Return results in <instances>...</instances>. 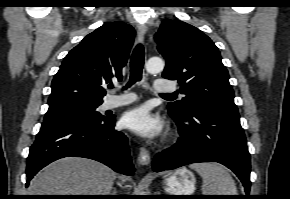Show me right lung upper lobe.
I'll return each instance as SVG.
<instances>
[{
    "label": "right lung upper lobe",
    "mask_w": 290,
    "mask_h": 199,
    "mask_svg": "<svg viewBox=\"0 0 290 199\" xmlns=\"http://www.w3.org/2000/svg\"><path fill=\"white\" fill-rule=\"evenodd\" d=\"M134 36L133 27L122 22L105 23L87 35L54 76L46 115L101 104L105 84L122 79Z\"/></svg>",
    "instance_id": "obj_1"
}]
</instances>
